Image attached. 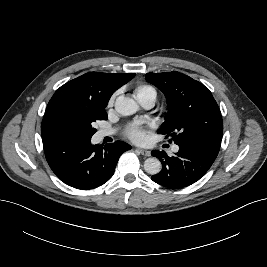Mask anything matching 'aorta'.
<instances>
[{"mask_svg": "<svg viewBox=\"0 0 267 267\" xmlns=\"http://www.w3.org/2000/svg\"><path fill=\"white\" fill-rule=\"evenodd\" d=\"M137 103L129 97L119 96L115 102L116 111L123 116L133 115L138 111ZM162 165L155 157L147 158L144 162V170L151 175H156L161 171Z\"/></svg>", "mask_w": 267, "mask_h": 267, "instance_id": "1", "label": "aorta"}]
</instances>
